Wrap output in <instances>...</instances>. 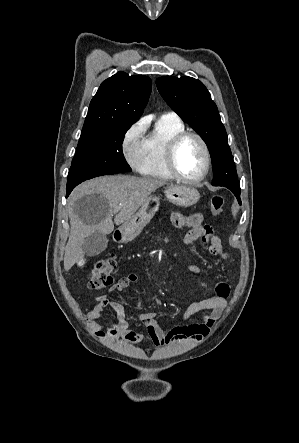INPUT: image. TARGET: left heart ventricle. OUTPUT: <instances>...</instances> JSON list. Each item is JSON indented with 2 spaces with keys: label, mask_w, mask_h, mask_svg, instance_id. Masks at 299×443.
Here are the masks:
<instances>
[{
  "label": "left heart ventricle",
  "mask_w": 299,
  "mask_h": 443,
  "mask_svg": "<svg viewBox=\"0 0 299 443\" xmlns=\"http://www.w3.org/2000/svg\"><path fill=\"white\" fill-rule=\"evenodd\" d=\"M177 165L186 177H197L204 169V152L199 141L193 137L185 139L177 150Z\"/></svg>",
  "instance_id": "b2bd125f"
}]
</instances>
